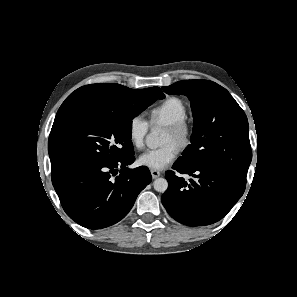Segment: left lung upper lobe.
Segmentation results:
<instances>
[{
  "instance_id": "5c2ea615",
  "label": "left lung upper lobe",
  "mask_w": 297,
  "mask_h": 297,
  "mask_svg": "<svg viewBox=\"0 0 297 297\" xmlns=\"http://www.w3.org/2000/svg\"><path fill=\"white\" fill-rule=\"evenodd\" d=\"M162 89L167 94L185 95L191 101V144L176 163L220 168L246 178L252 159L248 120L230 93L208 80H182Z\"/></svg>"
}]
</instances>
